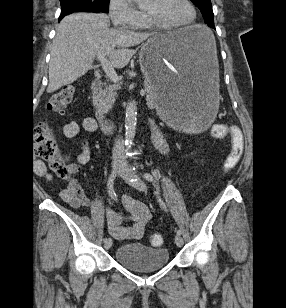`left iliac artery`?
Wrapping results in <instances>:
<instances>
[{
    "instance_id": "obj_1",
    "label": "left iliac artery",
    "mask_w": 286,
    "mask_h": 308,
    "mask_svg": "<svg viewBox=\"0 0 286 308\" xmlns=\"http://www.w3.org/2000/svg\"><path fill=\"white\" fill-rule=\"evenodd\" d=\"M143 177H144L145 180H147V181H149V182H153V181H154L153 176H152L151 174H149V173H145V174L143 175ZM159 203H160L161 207H162L164 210H166V205H165V203L163 202V200H162L161 198H159ZM176 233H177V235H181L180 229H177V230H176Z\"/></svg>"
}]
</instances>
